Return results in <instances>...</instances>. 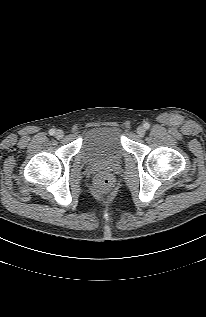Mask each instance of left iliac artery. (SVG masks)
<instances>
[{
  "mask_svg": "<svg viewBox=\"0 0 206 317\" xmlns=\"http://www.w3.org/2000/svg\"><path fill=\"white\" fill-rule=\"evenodd\" d=\"M144 128H145V129H149V128H150V124L146 122V123L144 124Z\"/></svg>",
  "mask_w": 206,
  "mask_h": 317,
  "instance_id": "obj_1",
  "label": "left iliac artery"
}]
</instances>
